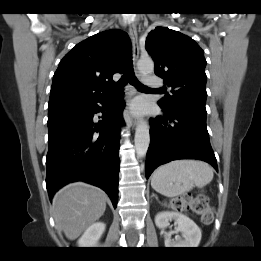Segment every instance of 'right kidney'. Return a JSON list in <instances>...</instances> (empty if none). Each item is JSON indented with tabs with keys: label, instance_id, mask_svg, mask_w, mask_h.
<instances>
[{
	"label": "right kidney",
	"instance_id": "right-kidney-1",
	"mask_svg": "<svg viewBox=\"0 0 261 261\" xmlns=\"http://www.w3.org/2000/svg\"><path fill=\"white\" fill-rule=\"evenodd\" d=\"M106 225L103 222H95L90 225L78 240L79 247H94L104 233Z\"/></svg>",
	"mask_w": 261,
	"mask_h": 261
}]
</instances>
